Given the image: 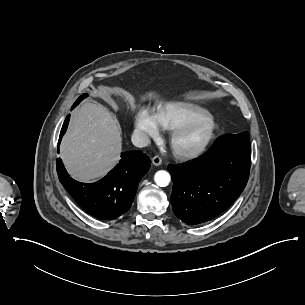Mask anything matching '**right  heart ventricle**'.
<instances>
[{"mask_svg":"<svg viewBox=\"0 0 305 305\" xmlns=\"http://www.w3.org/2000/svg\"><path fill=\"white\" fill-rule=\"evenodd\" d=\"M210 114L208 109L198 104L174 101L160 107L155 117L162 130L175 132L180 126Z\"/></svg>","mask_w":305,"mask_h":305,"instance_id":"e07e8e85","label":"right heart ventricle"}]
</instances>
